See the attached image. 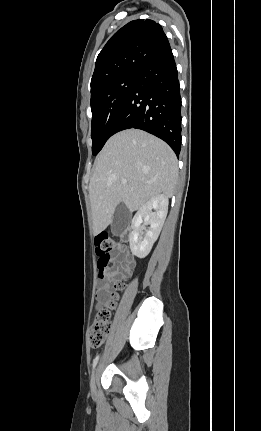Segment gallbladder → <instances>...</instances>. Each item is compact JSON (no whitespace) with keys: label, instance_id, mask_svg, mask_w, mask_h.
<instances>
[{"label":"gallbladder","instance_id":"1","mask_svg":"<svg viewBox=\"0 0 261 431\" xmlns=\"http://www.w3.org/2000/svg\"><path fill=\"white\" fill-rule=\"evenodd\" d=\"M130 223V211L125 206L124 203L118 204L115 209L112 222H111V232L114 235L122 234Z\"/></svg>","mask_w":261,"mask_h":431}]
</instances>
